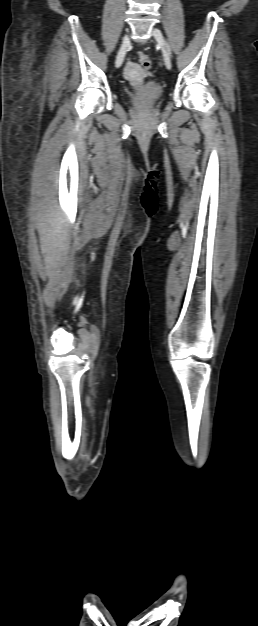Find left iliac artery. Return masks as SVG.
<instances>
[{
    "label": "left iliac artery",
    "instance_id": "obj_1",
    "mask_svg": "<svg viewBox=\"0 0 258 626\" xmlns=\"http://www.w3.org/2000/svg\"><path fill=\"white\" fill-rule=\"evenodd\" d=\"M167 48H168L169 53L171 54V50L168 44H167Z\"/></svg>",
    "mask_w": 258,
    "mask_h": 626
}]
</instances>
